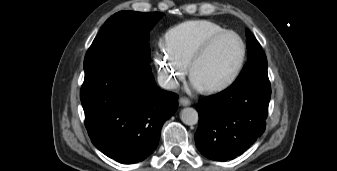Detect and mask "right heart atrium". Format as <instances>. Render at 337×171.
Returning <instances> with one entry per match:
<instances>
[{
    "label": "right heart atrium",
    "instance_id": "1",
    "mask_svg": "<svg viewBox=\"0 0 337 171\" xmlns=\"http://www.w3.org/2000/svg\"><path fill=\"white\" fill-rule=\"evenodd\" d=\"M155 62L162 81L170 87L176 86L187 72V66L177 59L164 43L157 47Z\"/></svg>",
    "mask_w": 337,
    "mask_h": 171
}]
</instances>
